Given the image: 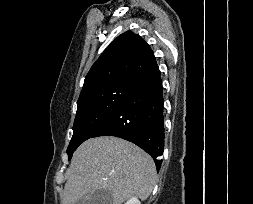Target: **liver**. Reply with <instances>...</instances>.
Returning a JSON list of instances; mask_svg holds the SVG:
<instances>
[{
    "instance_id": "liver-1",
    "label": "liver",
    "mask_w": 253,
    "mask_h": 204,
    "mask_svg": "<svg viewBox=\"0 0 253 204\" xmlns=\"http://www.w3.org/2000/svg\"><path fill=\"white\" fill-rule=\"evenodd\" d=\"M62 204H76L96 190L105 189L113 204L151 194L156 183L153 159L138 146L113 136L91 138L74 152L66 172Z\"/></svg>"
}]
</instances>
